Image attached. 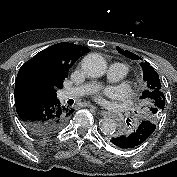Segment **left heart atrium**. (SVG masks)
I'll return each instance as SVG.
<instances>
[{
    "mask_svg": "<svg viewBox=\"0 0 177 177\" xmlns=\"http://www.w3.org/2000/svg\"><path fill=\"white\" fill-rule=\"evenodd\" d=\"M106 94H107V95L112 94V90H107V91H106ZM95 98H96V100H97L98 102H101V103L104 102L103 94H102V93L96 94V95H95Z\"/></svg>",
    "mask_w": 177,
    "mask_h": 177,
    "instance_id": "obj_1",
    "label": "left heart atrium"
}]
</instances>
